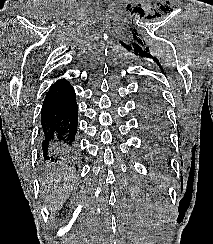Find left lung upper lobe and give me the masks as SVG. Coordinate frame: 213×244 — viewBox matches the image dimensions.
<instances>
[{"label":"left lung upper lobe","instance_id":"obj_1","mask_svg":"<svg viewBox=\"0 0 213 244\" xmlns=\"http://www.w3.org/2000/svg\"><path fill=\"white\" fill-rule=\"evenodd\" d=\"M141 113L145 122L153 128V130L162 136L166 128V117L161 99L156 91L150 86L147 87L141 101Z\"/></svg>","mask_w":213,"mask_h":244}]
</instances>
